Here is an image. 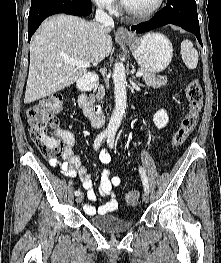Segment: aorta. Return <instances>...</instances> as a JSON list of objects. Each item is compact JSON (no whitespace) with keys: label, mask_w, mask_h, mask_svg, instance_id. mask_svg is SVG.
Listing matches in <instances>:
<instances>
[{"label":"aorta","mask_w":221,"mask_h":263,"mask_svg":"<svg viewBox=\"0 0 221 263\" xmlns=\"http://www.w3.org/2000/svg\"><path fill=\"white\" fill-rule=\"evenodd\" d=\"M112 79L114 82V98L115 108L110 117L106 132L109 135H115L118 128L120 127L121 121L125 114L127 104V93H126V73L125 67L122 63H117L114 67Z\"/></svg>","instance_id":"aorta-1"}]
</instances>
